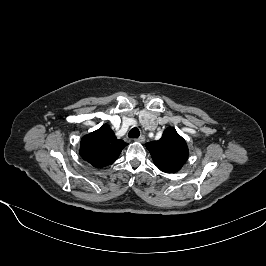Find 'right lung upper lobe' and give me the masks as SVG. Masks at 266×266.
<instances>
[{"label":"right lung upper lobe","mask_w":266,"mask_h":266,"mask_svg":"<svg viewBox=\"0 0 266 266\" xmlns=\"http://www.w3.org/2000/svg\"><path fill=\"white\" fill-rule=\"evenodd\" d=\"M126 145L104 124L81 139L80 155L93 167L102 168L115 162Z\"/></svg>","instance_id":"cb5924a9"}]
</instances>
